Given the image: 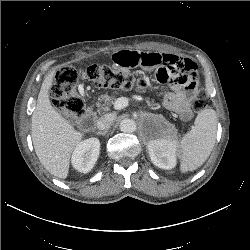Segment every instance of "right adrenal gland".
I'll list each match as a JSON object with an SVG mask.
<instances>
[{
	"instance_id": "2a0ac1e0",
	"label": "right adrenal gland",
	"mask_w": 250,
	"mask_h": 250,
	"mask_svg": "<svg viewBox=\"0 0 250 250\" xmlns=\"http://www.w3.org/2000/svg\"><path fill=\"white\" fill-rule=\"evenodd\" d=\"M98 135H106V133H107V131H103V132H101V131H98V132H96Z\"/></svg>"
}]
</instances>
